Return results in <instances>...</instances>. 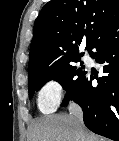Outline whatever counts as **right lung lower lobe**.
<instances>
[{
  "label": "right lung lower lobe",
  "instance_id": "1",
  "mask_svg": "<svg viewBox=\"0 0 119 141\" xmlns=\"http://www.w3.org/2000/svg\"><path fill=\"white\" fill-rule=\"evenodd\" d=\"M89 53L104 64L106 75L96 78L98 85L94 87V77L85 72L69 100L81 106L84 123L91 131L119 141V19L103 28Z\"/></svg>",
  "mask_w": 119,
  "mask_h": 141
}]
</instances>
